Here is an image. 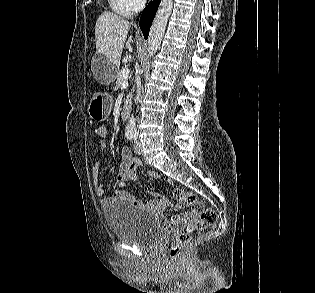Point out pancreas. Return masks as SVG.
<instances>
[{
  "label": "pancreas",
  "instance_id": "cf45deb5",
  "mask_svg": "<svg viewBox=\"0 0 315 293\" xmlns=\"http://www.w3.org/2000/svg\"><path fill=\"white\" fill-rule=\"evenodd\" d=\"M122 83H123V78L121 75V71H119L117 74L116 88H120Z\"/></svg>",
  "mask_w": 315,
  "mask_h": 293
}]
</instances>
